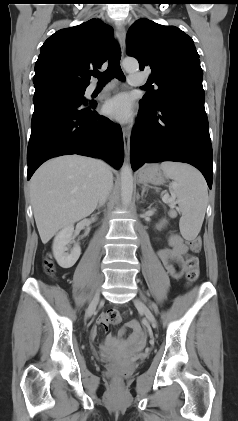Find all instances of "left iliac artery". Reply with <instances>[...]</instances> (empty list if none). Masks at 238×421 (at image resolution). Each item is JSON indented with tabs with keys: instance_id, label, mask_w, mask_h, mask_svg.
Segmentation results:
<instances>
[{
	"instance_id": "obj_1",
	"label": "left iliac artery",
	"mask_w": 238,
	"mask_h": 421,
	"mask_svg": "<svg viewBox=\"0 0 238 421\" xmlns=\"http://www.w3.org/2000/svg\"><path fill=\"white\" fill-rule=\"evenodd\" d=\"M144 299H145V298H144ZM152 307H153V309H154L155 313H157V312H158V308H157L156 304L152 303Z\"/></svg>"
}]
</instances>
